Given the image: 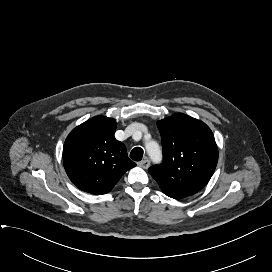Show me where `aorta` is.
<instances>
[{
	"instance_id": "aorta-1",
	"label": "aorta",
	"mask_w": 272,
	"mask_h": 272,
	"mask_svg": "<svg viewBox=\"0 0 272 272\" xmlns=\"http://www.w3.org/2000/svg\"><path fill=\"white\" fill-rule=\"evenodd\" d=\"M146 151H147L148 155L150 156V158L154 162L160 161L161 149H160L157 142L150 141V142L146 143Z\"/></svg>"
}]
</instances>
